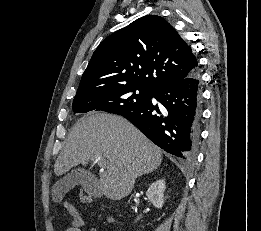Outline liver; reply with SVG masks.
Masks as SVG:
<instances>
[{
    "label": "liver",
    "instance_id": "1",
    "mask_svg": "<svg viewBox=\"0 0 261 231\" xmlns=\"http://www.w3.org/2000/svg\"><path fill=\"white\" fill-rule=\"evenodd\" d=\"M104 159L100 191L110 199L130 194L135 179L157 169L161 150L121 116L91 113L79 119L68 134L54 166L56 176L79 164Z\"/></svg>",
    "mask_w": 261,
    "mask_h": 231
}]
</instances>
